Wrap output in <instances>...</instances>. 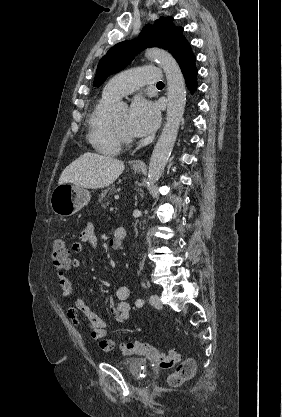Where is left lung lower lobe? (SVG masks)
<instances>
[{
  "instance_id": "0a47b994",
  "label": "left lung lower lobe",
  "mask_w": 282,
  "mask_h": 417,
  "mask_svg": "<svg viewBox=\"0 0 282 417\" xmlns=\"http://www.w3.org/2000/svg\"><path fill=\"white\" fill-rule=\"evenodd\" d=\"M174 58L179 63L188 89L191 91V93H194L197 88V69L195 66L196 57L193 54L189 43L179 48L176 51Z\"/></svg>"
}]
</instances>
